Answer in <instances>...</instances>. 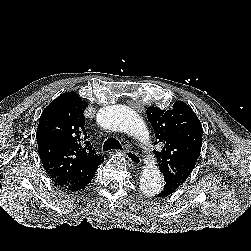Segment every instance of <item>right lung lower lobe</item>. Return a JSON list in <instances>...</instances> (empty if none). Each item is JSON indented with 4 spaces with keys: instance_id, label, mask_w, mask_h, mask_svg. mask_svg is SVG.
I'll use <instances>...</instances> for the list:
<instances>
[{
    "instance_id": "1",
    "label": "right lung lower lobe",
    "mask_w": 251,
    "mask_h": 251,
    "mask_svg": "<svg viewBox=\"0 0 251 251\" xmlns=\"http://www.w3.org/2000/svg\"><path fill=\"white\" fill-rule=\"evenodd\" d=\"M92 180V179H91ZM90 180V181H91ZM90 181H88L86 184H84L82 187H80V188H76V189H70V188H66L67 190H70V191H78V190H80V189H83L87 184H89L90 183ZM62 188V187H61ZM65 189V188H64Z\"/></svg>"
}]
</instances>
